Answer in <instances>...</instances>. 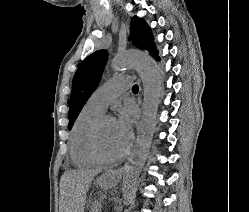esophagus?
<instances>
[{
  "label": "esophagus",
  "mask_w": 249,
  "mask_h": 212,
  "mask_svg": "<svg viewBox=\"0 0 249 212\" xmlns=\"http://www.w3.org/2000/svg\"><path fill=\"white\" fill-rule=\"evenodd\" d=\"M114 174H115V175H120V172H115Z\"/></svg>",
  "instance_id": "34e87169"
}]
</instances>
